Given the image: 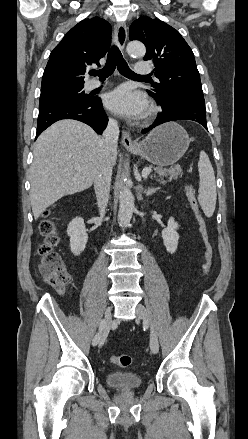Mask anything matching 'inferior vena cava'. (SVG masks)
<instances>
[{
  "mask_svg": "<svg viewBox=\"0 0 248 439\" xmlns=\"http://www.w3.org/2000/svg\"><path fill=\"white\" fill-rule=\"evenodd\" d=\"M119 138V126L116 120L110 119L106 129L103 132L102 145L105 152V160L96 171L94 178V189L97 198V204L99 208L100 218L105 215V209L107 207L111 176H112V164L111 155L117 150V142Z\"/></svg>",
  "mask_w": 248,
  "mask_h": 439,
  "instance_id": "1",
  "label": "inferior vena cava"
}]
</instances>
